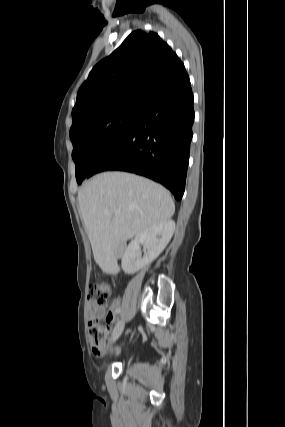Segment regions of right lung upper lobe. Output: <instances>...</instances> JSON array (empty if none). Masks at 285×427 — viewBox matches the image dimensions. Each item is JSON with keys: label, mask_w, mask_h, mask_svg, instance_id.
<instances>
[{"label": "right lung upper lobe", "mask_w": 285, "mask_h": 427, "mask_svg": "<svg viewBox=\"0 0 285 427\" xmlns=\"http://www.w3.org/2000/svg\"><path fill=\"white\" fill-rule=\"evenodd\" d=\"M185 72L158 34L136 30L91 70L72 110L70 134L82 125L131 105H143L154 90Z\"/></svg>", "instance_id": "cb5924a9"}]
</instances>
